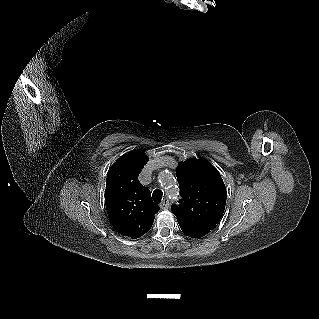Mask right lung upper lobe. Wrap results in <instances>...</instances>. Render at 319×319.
I'll list each match as a JSON object with an SVG mask.
<instances>
[{"mask_svg":"<svg viewBox=\"0 0 319 319\" xmlns=\"http://www.w3.org/2000/svg\"><path fill=\"white\" fill-rule=\"evenodd\" d=\"M147 161L139 150L131 151L122 155L107 174L105 204L109 221L118 233L132 239L151 229L159 211L149 189L138 180Z\"/></svg>","mask_w":319,"mask_h":319,"instance_id":"obj_1","label":"right lung upper lobe"}]
</instances>
